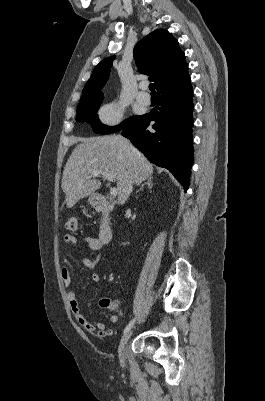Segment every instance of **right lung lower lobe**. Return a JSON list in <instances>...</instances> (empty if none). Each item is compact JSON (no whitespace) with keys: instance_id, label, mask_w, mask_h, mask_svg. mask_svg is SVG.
Instances as JSON below:
<instances>
[{"instance_id":"right-lung-lower-lobe-1","label":"right lung lower lobe","mask_w":265,"mask_h":401,"mask_svg":"<svg viewBox=\"0 0 265 401\" xmlns=\"http://www.w3.org/2000/svg\"><path fill=\"white\" fill-rule=\"evenodd\" d=\"M192 95L190 81L172 91L159 93L157 106L122 132L148 160L167 168L185 191L189 187L193 161ZM150 122L154 124L147 130Z\"/></svg>"}]
</instances>
